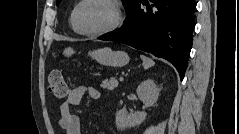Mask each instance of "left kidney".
Listing matches in <instances>:
<instances>
[{
	"mask_svg": "<svg viewBox=\"0 0 239 134\" xmlns=\"http://www.w3.org/2000/svg\"><path fill=\"white\" fill-rule=\"evenodd\" d=\"M136 92L139 99L144 103L145 107L153 106L159 96V89L152 79L144 80L138 86ZM146 116L147 113L144 111L129 114L123 108L116 113V127L118 130L122 131L126 128L139 126L146 119Z\"/></svg>",
	"mask_w": 239,
	"mask_h": 134,
	"instance_id": "obj_1",
	"label": "left kidney"
}]
</instances>
